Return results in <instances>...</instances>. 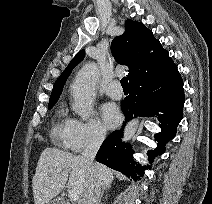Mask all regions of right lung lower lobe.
<instances>
[{
	"mask_svg": "<svg viewBox=\"0 0 212 204\" xmlns=\"http://www.w3.org/2000/svg\"><path fill=\"white\" fill-rule=\"evenodd\" d=\"M129 87V96L121 104L125 115L123 128L133 117L158 115L159 111L164 113L160 116L162 131L155 136L158 147L148 153L152 162L155 156L163 153L165 144L174 138L182 119L185 101L183 82L176 65H172L148 74ZM123 128L115 130L105 139L96 160L137 180L136 173L142 176L144 167L135 164L131 146L121 141Z\"/></svg>",
	"mask_w": 212,
	"mask_h": 204,
	"instance_id": "obj_1",
	"label": "right lung lower lobe"
}]
</instances>
